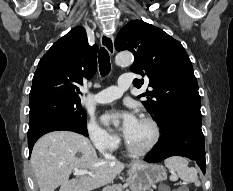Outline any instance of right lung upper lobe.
I'll use <instances>...</instances> for the list:
<instances>
[{
    "mask_svg": "<svg viewBox=\"0 0 233 191\" xmlns=\"http://www.w3.org/2000/svg\"><path fill=\"white\" fill-rule=\"evenodd\" d=\"M98 47L89 46L83 27L73 28L56 41L38 63L29 99L44 94L80 100L78 84L90 79L97 69Z\"/></svg>",
    "mask_w": 233,
    "mask_h": 191,
    "instance_id": "right-lung-upper-lobe-1",
    "label": "right lung upper lobe"
}]
</instances>
